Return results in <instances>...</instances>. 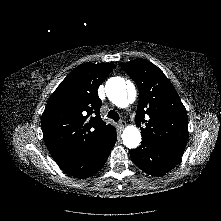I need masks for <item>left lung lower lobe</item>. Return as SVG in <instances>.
Segmentation results:
<instances>
[{"instance_id":"0a47b994","label":"left lung lower lobe","mask_w":221,"mask_h":221,"mask_svg":"<svg viewBox=\"0 0 221 221\" xmlns=\"http://www.w3.org/2000/svg\"><path fill=\"white\" fill-rule=\"evenodd\" d=\"M183 152L174 151L149 140L142 139L141 145L130 150V157L138 168L152 176H162L173 169Z\"/></svg>"}]
</instances>
